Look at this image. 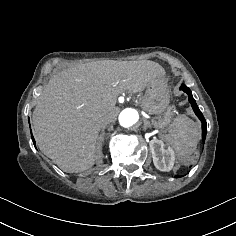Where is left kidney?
<instances>
[{
  "mask_svg": "<svg viewBox=\"0 0 236 236\" xmlns=\"http://www.w3.org/2000/svg\"><path fill=\"white\" fill-rule=\"evenodd\" d=\"M149 144L155 167L160 171H170L175 161L174 150L171 147L166 148L158 139L151 140Z\"/></svg>",
  "mask_w": 236,
  "mask_h": 236,
  "instance_id": "1",
  "label": "left kidney"
}]
</instances>
